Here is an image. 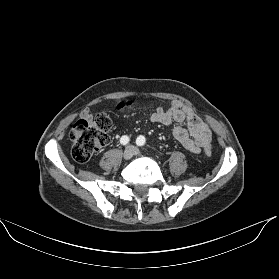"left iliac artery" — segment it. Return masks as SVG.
<instances>
[{"mask_svg": "<svg viewBox=\"0 0 279 279\" xmlns=\"http://www.w3.org/2000/svg\"><path fill=\"white\" fill-rule=\"evenodd\" d=\"M145 142H146V140H145V137L144 136H139L137 139H136V144L138 145V146H143V145H145Z\"/></svg>", "mask_w": 279, "mask_h": 279, "instance_id": "left-iliac-artery-1", "label": "left iliac artery"}]
</instances>
